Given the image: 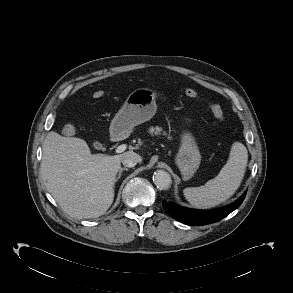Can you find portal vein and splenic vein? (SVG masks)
<instances>
[{
    "mask_svg": "<svg viewBox=\"0 0 293 293\" xmlns=\"http://www.w3.org/2000/svg\"><path fill=\"white\" fill-rule=\"evenodd\" d=\"M126 148H127V146L125 144H122L115 149V152L117 154L122 153L126 150Z\"/></svg>",
    "mask_w": 293,
    "mask_h": 293,
    "instance_id": "portal-vein-and-splenic-vein-1",
    "label": "portal vein and splenic vein"
}]
</instances>
